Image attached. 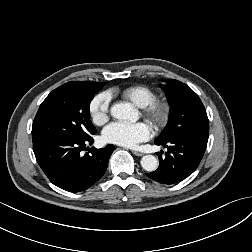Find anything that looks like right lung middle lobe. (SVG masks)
I'll return each mask as SVG.
<instances>
[{"label": "right lung middle lobe", "instance_id": "dd1d6c3e", "mask_svg": "<svg viewBox=\"0 0 252 252\" xmlns=\"http://www.w3.org/2000/svg\"><path fill=\"white\" fill-rule=\"evenodd\" d=\"M99 87L68 82L53 90L42 102L32 125V138L83 139L95 134L89 105Z\"/></svg>", "mask_w": 252, "mask_h": 252}]
</instances>
